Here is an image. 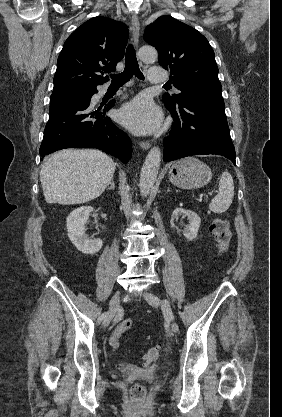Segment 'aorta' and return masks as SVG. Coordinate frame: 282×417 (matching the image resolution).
<instances>
[{"label": "aorta", "instance_id": "aorta-1", "mask_svg": "<svg viewBox=\"0 0 282 417\" xmlns=\"http://www.w3.org/2000/svg\"><path fill=\"white\" fill-rule=\"evenodd\" d=\"M141 60L145 62H153L158 56V52L154 46H141L138 52ZM161 160V150L158 146H153L149 150L141 168L139 188L142 196H147L151 188H153Z\"/></svg>", "mask_w": 282, "mask_h": 417}]
</instances>
